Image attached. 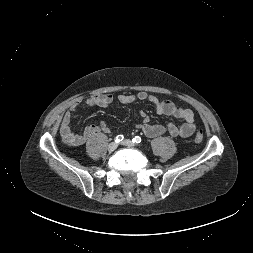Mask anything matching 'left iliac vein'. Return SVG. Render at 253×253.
<instances>
[{"instance_id": "left-iliac-vein-1", "label": "left iliac vein", "mask_w": 253, "mask_h": 253, "mask_svg": "<svg viewBox=\"0 0 253 253\" xmlns=\"http://www.w3.org/2000/svg\"><path fill=\"white\" fill-rule=\"evenodd\" d=\"M122 145L128 146V147L135 146V144H134L131 140H129V139L124 140V141L122 142Z\"/></svg>"}]
</instances>
